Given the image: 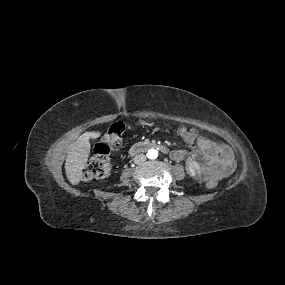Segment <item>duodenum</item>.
I'll use <instances>...</instances> for the list:
<instances>
[{
	"mask_svg": "<svg viewBox=\"0 0 285 285\" xmlns=\"http://www.w3.org/2000/svg\"><path fill=\"white\" fill-rule=\"evenodd\" d=\"M151 148H155V149L161 151L162 153L167 152V147L163 144L151 143V142H140V143L133 145L130 148L129 154L135 155L137 153L143 152V151L151 149Z\"/></svg>",
	"mask_w": 285,
	"mask_h": 285,
	"instance_id": "duodenum-1",
	"label": "duodenum"
}]
</instances>
